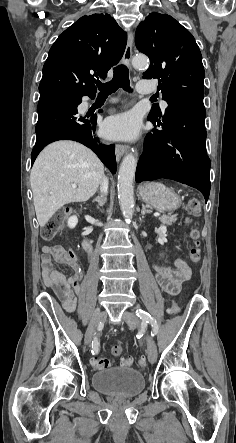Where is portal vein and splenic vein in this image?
<instances>
[{
  "label": "portal vein and splenic vein",
  "mask_w": 236,
  "mask_h": 443,
  "mask_svg": "<svg viewBox=\"0 0 236 443\" xmlns=\"http://www.w3.org/2000/svg\"><path fill=\"white\" fill-rule=\"evenodd\" d=\"M72 188H74V189L77 188V185L73 184ZM159 215H160V213H154V216H156V217L159 216Z\"/></svg>",
  "instance_id": "obj_1"
}]
</instances>
